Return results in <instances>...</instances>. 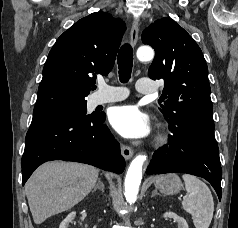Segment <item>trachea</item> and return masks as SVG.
Here are the masks:
<instances>
[{"instance_id":"3493384b","label":"trachea","mask_w":238,"mask_h":228,"mask_svg":"<svg viewBox=\"0 0 238 228\" xmlns=\"http://www.w3.org/2000/svg\"><path fill=\"white\" fill-rule=\"evenodd\" d=\"M117 64L119 68V79L122 83L129 81L133 66V51L132 47L126 43L124 44L118 54Z\"/></svg>"}]
</instances>
